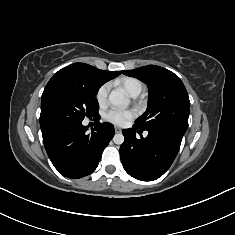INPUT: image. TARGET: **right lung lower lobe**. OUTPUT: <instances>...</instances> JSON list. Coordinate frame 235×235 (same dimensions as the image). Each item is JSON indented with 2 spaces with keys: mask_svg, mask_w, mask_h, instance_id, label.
<instances>
[{
  "mask_svg": "<svg viewBox=\"0 0 235 235\" xmlns=\"http://www.w3.org/2000/svg\"><path fill=\"white\" fill-rule=\"evenodd\" d=\"M46 152L65 177L77 179L98 166L104 148L114 135L110 123L97 122L91 133L82 122L50 121L40 124Z\"/></svg>",
  "mask_w": 235,
  "mask_h": 235,
  "instance_id": "right-lung-lower-lobe-1",
  "label": "right lung lower lobe"
}]
</instances>
